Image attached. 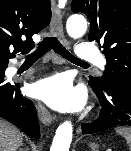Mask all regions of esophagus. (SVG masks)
<instances>
[{"instance_id":"1","label":"esophagus","mask_w":131,"mask_h":151,"mask_svg":"<svg viewBox=\"0 0 131 151\" xmlns=\"http://www.w3.org/2000/svg\"><path fill=\"white\" fill-rule=\"evenodd\" d=\"M51 32L57 37L62 43H65L63 22H62V11L59 8H54L53 17L51 21ZM37 112L39 119L44 125H49L53 121V117L49 110L42 104L38 103Z\"/></svg>"}]
</instances>
